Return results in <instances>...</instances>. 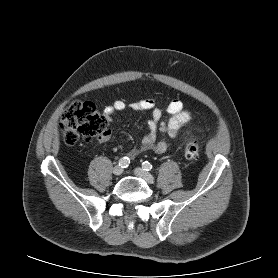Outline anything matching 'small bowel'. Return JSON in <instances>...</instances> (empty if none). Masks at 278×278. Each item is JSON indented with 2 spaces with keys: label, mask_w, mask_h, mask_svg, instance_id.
<instances>
[{
  "label": "small bowel",
  "mask_w": 278,
  "mask_h": 278,
  "mask_svg": "<svg viewBox=\"0 0 278 278\" xmlns=\"http://www.w3.org/2000/svg\"><path fill=\"white\" fill-rule=\"evenodd\" d=\"M129 107L134 111H150L151 119L148 122V132L143 136L140 146L130 150L128 156L135 157L137 154L147 151L163 153L169 148V143L164 136L176 137L181 128L191 120V113L185 109L182 101L172 100L167 106V117L163 119L162 110L159 109L153 99H141L127 105L123 101H115L105 107L104 113L111 117L117 112H122ZM159 134L163 137L159 138ZM110 137V131H106L100 139L105 141Z\"/></svg>",
  "instance_id": "c3829d8e"
}]
</instances>
